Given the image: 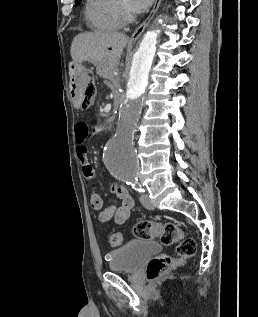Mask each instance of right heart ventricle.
I'll list each match as a JSON object with an SVG mask.
<instances>
[{"label":"right heart ventricle","mask_w":258,"mask_h":317,"mask_svg":"<svg viewBox=\"0 0 258 317\" xmlns=\"http://www.w3.org/2000/svg\"><path fill=\"white\" fill-rule=\"evenodd\" d=\"M122 4V0H88L84 11L88 24L99 32L117 30L121 25L119 10Z\"/></svg>","instance_id":"1"}]
</instances>
